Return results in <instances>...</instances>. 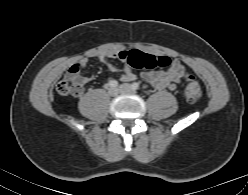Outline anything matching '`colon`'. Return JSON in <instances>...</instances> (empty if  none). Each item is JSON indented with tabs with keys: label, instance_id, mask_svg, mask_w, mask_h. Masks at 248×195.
Instances as JSON below:
<instances>
[{
	"label": "colon",
	"instance_id": "5ec220e1",
	"mask_svg": "<svg viewBox=\"0 0 248 195\" xmlns=\"http://www.w3.org/2000/svg\"><path fill=\"white\" fill-rule=\"evenodd\" d=\"M134 69L165 68L171 64V60L165 56H156L137 50L126 53L120 57ZM83 90V79L79 71L67 73L65 78L58 82L56 91L62 96L78 95ZM201 86L193 75H188L185 83V98L190 104L196 103L201 97Z\"/></svg>",
	"mask_w": 248,
	"mask_h": 195
}]
</instances>
